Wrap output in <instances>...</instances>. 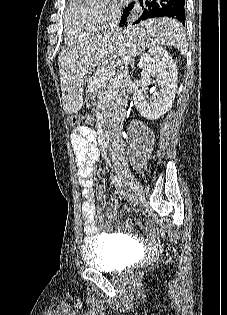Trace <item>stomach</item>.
<instances>
[{"instance_id": "1", "label": "stomach", "mask_w": 227, "mask_h": 315, "mask_svg": "<svg viewBox=\"0 0 227 315\" xmlns=\"http://www.w3.org/2000/svg\"><path fill=\"white\" fill-rule=\"evenodd\" d=\"M97 76V71H89L88 75H85L84 80L82 81L84 91H94L95 86L92 80L93 78H97Z\"/></svg>"}]
</instances>
